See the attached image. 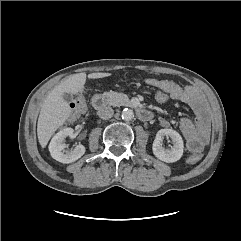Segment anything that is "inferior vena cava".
I'll list each match as a JSON object with an SVG mask.
<instances>
[{
  "instance_id": "obj_1",
  "label": "inferior vena cava",
  "mask_w": 241,
  "mask_h": 241,
  "mask_svg": "<svg viewBox=\"0 0 241 241\" xmlns=\"http://www.w3.org/2000/svg\"><path fill=\"white\" fill-rule=\"evenodd\" d=\"M113 109L109 106H104L98 111V115L101 119H109L113 116Z\"/></svg>"
}]
</instances>
